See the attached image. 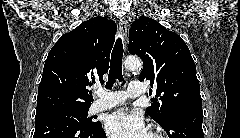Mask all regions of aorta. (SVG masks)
<instances>
[{"mask_svg": "<svg viewBox=\"0 0 240 138\" xmlns=\"http://www.w3.org/2000/svg\"><path fill=\"white\" fill-rule=\"evenodd\" d=\"M125 68L133 71V72H138L141 70L142 63L138 58L135 57H127L125 62Z\"/></svg>", "mask_w": 240, "mask_h": 138, "instance_id": "1", "label": "aorta"}]
</instances>
